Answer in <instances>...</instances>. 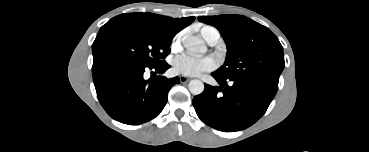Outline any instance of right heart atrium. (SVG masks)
Returning a JSON list of instances; mask_svg holds the SVG:
<instances>
[{"mask_svg":"<svg viewBox=\"0 0 369 152\" xmlns=\"http://www.w3.org/2000/svg\"><path fill=\"white\" fill-rule=\"evenodd\" d=\"M180 38H181V35H180V34H178V35L174 38V40H173V44H172L173 48H178V46H179V42H180Z\"/></svg>","mask_w":369,"mask_h":152,"instance_id":"d8ad5b80","label":"right heart atrium"}]
</instances>
